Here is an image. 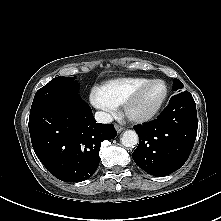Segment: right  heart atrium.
<instances>
[{"label": "right heart atrium", "instance_id": "d8ad5b80", "mask_svg": "<svg viewBox=\"0 0 221 221\" xmlns=\"http://www.w3.org/2000/svg\"><path fill=\"white\" fill-rule=\"evenodd\" d=\"M89 100L104 119L109 120L116 115L117 106L102 93L99 87L91 89L89 93Z\"/></svg>", "mask_w": 221, "mask_h": 221}]
</instances>
